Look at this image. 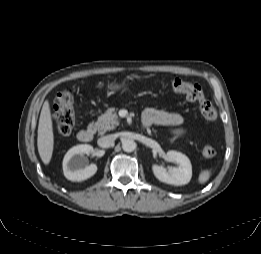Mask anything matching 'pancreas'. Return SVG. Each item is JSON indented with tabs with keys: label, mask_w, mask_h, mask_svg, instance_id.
I'll return each mask as SVG.
<instances>
[{
	"label": "pancreas",
	"mask_w": 261,
	"mask_h": 254,
	"mask_svg": "<svg viewBox=\"0 0 261 254\" xmlns=\"http://www.w3.org/2000/svg\"><path fill=\"white\" fill-rule=\"evenodd\" d=\"M118 125L119 122L116 110L111 108L98 118L94 124V129L102 134L106 131L115 129ZM170 141L173 142L174 139H171Z\"/></svg>",
	"instance_id": "pancreas-1"
}]
</instances>
